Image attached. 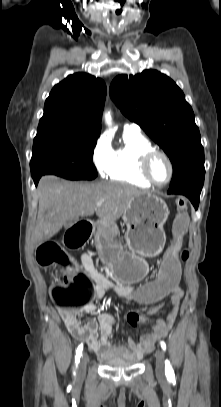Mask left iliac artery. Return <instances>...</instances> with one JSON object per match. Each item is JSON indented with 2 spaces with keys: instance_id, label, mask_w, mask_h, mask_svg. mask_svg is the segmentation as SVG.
<instances>
[{
  "instance_id": "left-iliac-artery-1",
  "label": "left iliac artery",
  "mask_w": 221,
  "mask_h": 407,
  "mask_svg": "<svg viewBox=\"0 0 221 407\" xmlns=\"http://www.w3.org/2000/svg\"><path fill=\"white\" fill-rule=\"evenodd\" d=\"M161 348L165 351L166 350V344L164 341H160ZM165 372L167 377L173 378L174 377V371L170 365V362L168 360L165 361Z\"/></svg>"
}]
</instances>
